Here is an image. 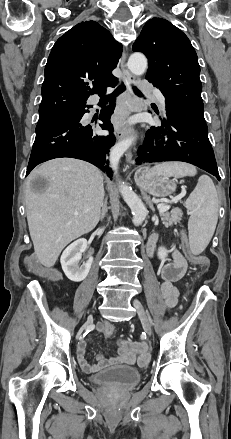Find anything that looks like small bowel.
Segmentation results:
<instances>
[{"mask_svg":"<svg viewBox=\"0 0 231 439\" xmlns=\"http://www.w3.org/2000/svg\"><path fill=\"white\" fill-rule=\"evenodd\" d=\"M158 236L153 235L147 245V252L152 256L156 249ZM169 252L171 261L160 267V277L162 279L161 292L168 307L173 308L177 304L179 292L175 286V282L179 280L186 272L187 261L184 255L172 244H170ZM98 331L105 336H111L114 332L112 324L106 322L98 326ZM117 353L114 357L106 359L102 355L98 356L97 364L91 365L85 358L86 341L79 343L77 347V359L81 368L92 373L111 365L128 364L132 365L136 361L146 362L148 355L146 353V344L143 342H133L125 339L118 340Z\"/></svg>","mask_w":231,"mask_h":439,"instance_id":"1","label":"small bowel"}]
</instances>
